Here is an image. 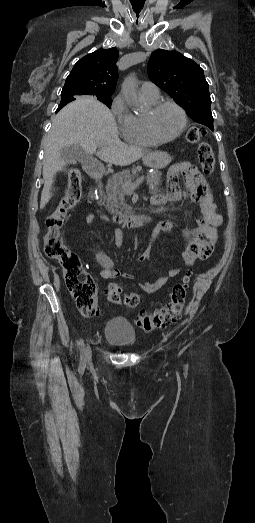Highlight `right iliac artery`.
I'll return each instance as SVG.
<instances>
[{"instance_id": "1", "label": "right iliac artery", "mask_w": 255, "mask_h": 523, "mask_svg": "<svg viewBox=\"0 0 255 523\" xmlns=\"http://www.w3.org/2000/svg\"><path fill=\"white\" fill-rule=\"evenodd\" d=\"M78 348H79V352H80V366L83 367L86 363V356H85V347H84V343H83L82 339L78 342Z\"/></svg>"}]
</instances>
